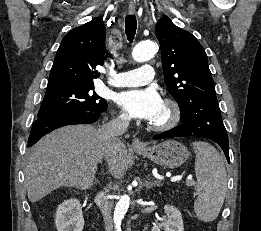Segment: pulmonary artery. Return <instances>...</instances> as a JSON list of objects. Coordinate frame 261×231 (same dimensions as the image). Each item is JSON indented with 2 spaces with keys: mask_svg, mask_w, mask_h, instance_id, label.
<instances>
[{
  "mask_svg": "<svg viewBox=\"0 0 261 231\" xmlns=\"http://www.w3.org/2000/svg\"><path fill=\"white\" fill-rule=\"evenodd\" d=\"M154 68L150 65L141 66L137 69L120 72L109 83L116 87H131L146 84L153 80Z\"/></svg>",
  "mask_w": 261,
  "mask_h": 231,
  "instance_id": "1",
  "label": "pulmonary artery"
}]
</instances>
